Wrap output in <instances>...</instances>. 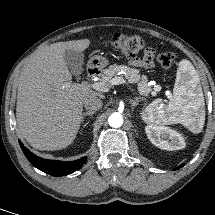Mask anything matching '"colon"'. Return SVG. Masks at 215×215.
Returning a JSON list of instances; mask_svg holds the SVG:
<instances>
[{"mask_svg":"<svg viewBox=\"0 0 215 215\" xmlns=\"http://www.w3.org/2000/svg\"><path fill=\"white\" fill-rule=\"evenodd\" d=\"M107 45L128 57L134 58L144 49L145 41L138 35L118 33L107 42ZM174 59L175 55L172 52H164L158 56V62L163 68H169Z\"/></svg>","mask_w":215,"mask_h":215,"instance_id":"colon-1","label":"colon"}]
</instances>
